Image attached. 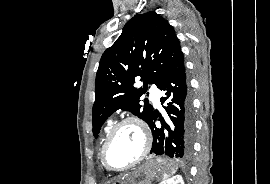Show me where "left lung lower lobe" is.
Here are the masks:
<instances>
[{
    "label": "left lung lower lobe",
    "instance_id": "0a47b994",
    "mask_svg": "<svg viewBox=\"0 0 270 184\" xmlns=\"http://www.w3.org/2000/svg\"><path fill=\"white\" fill-rule=\"evenodd\" d=\"M158 88L165 92L161 102L166 105L167 115L165 119L159 117L161 128L154 123L158 116L152 115L148 124L153 134L150 153L187 161L193 152L195 124L182 52L172 62Z\"/></svg>",
    "mask_w": 270,
    "mask_h": 184
}]
</instances>
